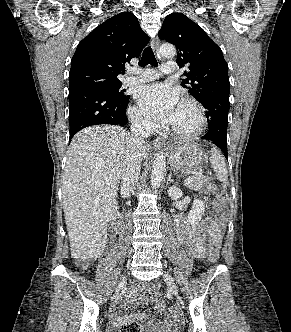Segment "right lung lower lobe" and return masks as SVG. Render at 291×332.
I'll use <instances>...</instances> for the list:
<instances>
[{"instance_id":"1","label":"right lung lower lobe","mask_w":291,"mask_h":332,"mask_svg":"<svg viewBox=\"0 0 291 332\" xmlns=\"http://www.w3.org/2000/svg\"><path fill=\"white\" fill-rule=\"evenodd\" d=\"M129 98L116 100L104 89L88 87L69 92L70 138L81 129L99 124L126 125Z\"/></svg>"}]
</instances>
